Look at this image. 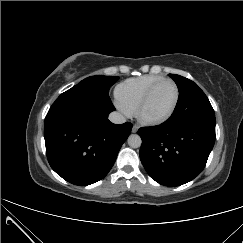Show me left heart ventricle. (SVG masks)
Returning a JSON list of instances; mask_svg holds the SVG:
<instances>
[{
    "mask_svg": "<svg viewBox=\"0 0 243 243\" xmlns=\"http://www.w3.org/2000/svg\"><path fill=\"white\" fill-rule=\"evenodd\" d=\"M175 99V88L171 83L161 84L152 94L144 115L148 118H159L171 109Z\"/></svg>",
    "mask_w": 243,
    "mask_h": 243,
    "instance_id": "obj_1",
    "label": "left heart ventricle"
}]
</instances>
